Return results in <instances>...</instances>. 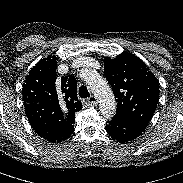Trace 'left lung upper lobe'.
Returning <instances> with one entry per match:
<instances>
[{
  "mask_svg": "<svg viewBox=\"0 0 183 183\" xmlns=\"http://www.w3.org/2000/svg\"><path fill=\"white\" fill-rule=\"evenodd\" d=\"M104 72L117 102L115 117L147 126L159 99V82L136 55L104 59Z\"/></svg>",
  "mask_w": 183,
  "mask_h": 183,
  "instance_id": "left-lung-upper-lobe-1",
  "label": "left lung upper lobe"
}]
</instances>
